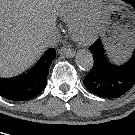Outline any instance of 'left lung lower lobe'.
<instances>
[{"mask_svg": "<svg viewBox=\"0 0 135 135\" xmlns=\"http://www.w3.org/2000/svg\"><path fill=\"white\" fill-rule=\"evenodd\" d=\"M135 8V1L129 2ZM89 50L93 53L94 65L84 77L85 87L103 98H118L135 84V51L124 65L110 63L105 54L101 40L95 41Z\"/></svg>", "mask_w": 135, "mask_h": 135, "instance_id": "0a47b994", "label": "left lung lower lobe"}]
</instances>
